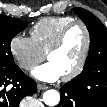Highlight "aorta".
I'll return each mask as SVG.
<instances>
[{
	"label": "aorta",
	"mask_w": 107,
	"mask_h": 107,
	"mask_svg": "<svg viewBox=\"0 0 107 107\" xmlns=\"http://www.w3.org/2000/svg\"><path fill=\"white\" fill-rule=\"evenodd\" d=\"M43 101L47 106L50 107L56 106L60 101V94L58 91L54 89L47 90L43 94Z\"/></svg>",
	"instance_id": "762f6f07"
}]
</instances>
